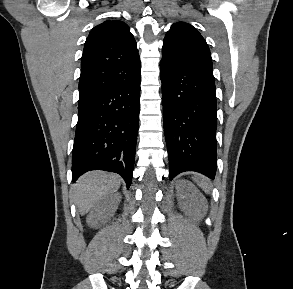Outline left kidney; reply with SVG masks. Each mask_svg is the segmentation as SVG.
Instances as JSON below:
<instances>
[{
  "label": "left kidney",
  "mask_w": 293,
  "mask_h": 289,
  "mask_svg": "<svg viewBox=\"0 0 293 289\" xmlns=\"http://www.w3.org/2000/svg\"><path fill=\"white\" fill-rule=\"evenodd\" d=\"M177 189L185 192L190 199V208L197 217H202L207 211L208 205L204 196L191 183L180 180L177 184Z\"/></svg>",
  "instance_id": "obj_1"
}]
</instances>
